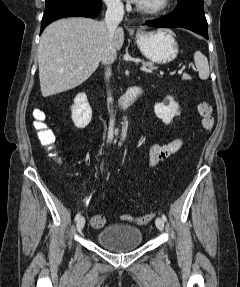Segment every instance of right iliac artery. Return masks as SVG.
<instances>
[{"mask_svg": "<svg viewBox=\"0 0 240 287\" xmlns=\"http://www.w3.org/2000/svg\"><path fill=\"white\" fill-rule=\"evenodd\" d=\"M120 144V143H119ZM80 213H78L76 216H75V221H78V219L80 218Z\"/></svg>", "mask_w": 240, "mask_h": 287, "instance_id": "obj_1", "label": "right iliac artery"}]
</instances>
